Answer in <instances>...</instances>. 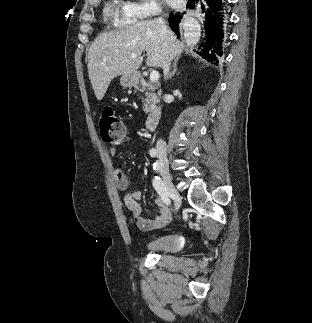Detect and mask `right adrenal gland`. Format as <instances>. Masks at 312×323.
I'll return each mask as SVG.
<instances>
[{"instance_id": "obj_1", "label": "right adrenal gland", "mask_w": 312, "mask_h": 323, "mask_svg": "<svg viewBox=\"0 0 312 323\" xmlns=\"http://www.w3.org/2000/svg\"><path fill=\"white\" fill-rule=\"evenodd\" d=\"M179 58H176V60H174L173 64V72H171V74H169L168 78L169 80H171L172 76H175L176 74V70H177V62H178Z\"/></svg>"}]
</instances>
